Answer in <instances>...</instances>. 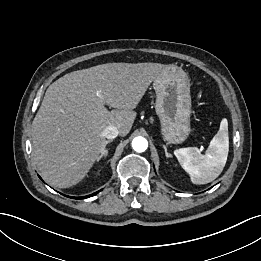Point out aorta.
Returning <instances> with one entry per match:
<instances>
[{"label":"aorta","mask_w":261,"mask_h":261,"mask_svg":"<svg viewBox=\"0 0 261 261\" xmlns=\"http://www.w3.org/2000/svg\"><path fill=\"white\" fill-rule=\"evenodd\" d=\"M132 147L136 152H144L148 148V141L141 136L135 137L132 141Z\"/></svg>","instance_id":"aorta-1"}]
</instances>
